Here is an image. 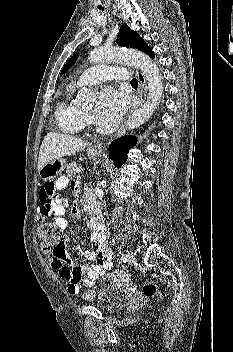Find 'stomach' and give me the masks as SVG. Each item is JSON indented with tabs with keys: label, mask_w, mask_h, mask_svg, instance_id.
<instances>
[{
	"label": "stomach",
	"mask_w": 233,
	"mask_h": 352,
	"mask_svg": "<svg viewBox=\"0 0 233 352\" xmlns=\"http://www.w3.org/2000/svg\"><path fill=\"white\" fill-rule=\"evenodd\" d=\"M88 156L92 159H96L101 155L100 150L89 149L87 151ZM66 167V161L64 159H54L46 163L40 170L39 176L44 181L53 180L57 177Z\"/></svg>",
	"instance_id": "0dacf381"
}]
</instances>
